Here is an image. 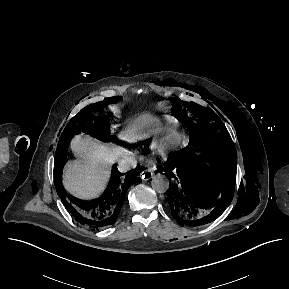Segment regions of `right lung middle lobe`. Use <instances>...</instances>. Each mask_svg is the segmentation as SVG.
<instances>
[{
	"instance_id": "obj_1",
	"label": "right lung middle lobe",
	"mask_w": 289,
	"mask_h": 289,
	"mask_svg": "<svg viewBox=\"0 0 289 289\" xmlns=\"http://www.w3.org/2000/svg\"><path fill=\"white\" fill-rule=\"evenodd\" d=\"M121 98H108L102 102L91 104L82 109L69 121L65 127L59 139L57 150L59 149L66 152V150H68L71 137L79 132H84L90 136H95L102 141L107 139L109 134L110 114L100 116L98 113L102 112L107 104L113 103L115 100Z\"/></svg>"
}]
</instances>
